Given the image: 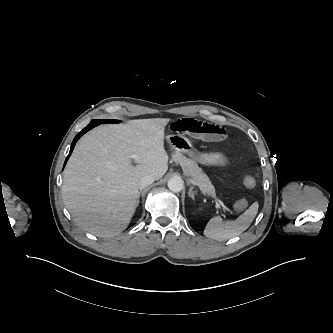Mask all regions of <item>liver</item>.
Instances as JSON below:
<instances>
[{
    "instance_id": "6515ba94",
    "label": "liver",
    "mask_w": 333,
    "mask_h": 333,
    "mask_svg": "<svg viewBox=\"0 0 333 333\" xmlns=\"http://www.w3.org/2000/svg\"><path fill=\"white\" fill-rule=\"evenodd\" d=\"M169 121L152 118L102 125L81 139L62 184L64 203L77 225L105 238L128 227L141 178L151 175L159 180L168 170L164 131Z\"/></svg>"
}]
</instances>
